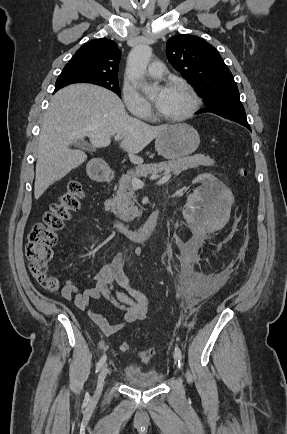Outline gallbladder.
Instances as JSON below:
<instances>
[{"label": "gallbladder", "instance_id": "1", "mask_svg": "<svg viewBox=\"0 0 287 434\" xmlns=\"http://www.w3.org/2000/svg\"><path fill=\"white\" fill-rule=\"evenodd\" d=\"M73 145H74V147L79 148V149H91V146L88 143H86L82 140H79V139L75 140L73 142Z\"/></svg>", "mask_w": 287, "mask_h": 434}]
</instances>
